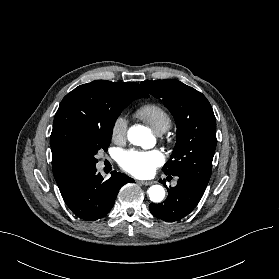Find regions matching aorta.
I'll return each mask as SVG.
<instances>
[{
    "mask_svg": "<svg viewBox=\"0 0 279 279\" xmlns=\"http://www.w3.org/2000/svg\"><path fill=\"white\" fill-rule=\"evenodd\" d=\"M151 137L149 130L143 126H133L128 130L129 141L137 146L149 147ZM148 195L151 201L159 203L165 197V190L160 185H153L148 189Z\"/></svg>",
    "mask_w": 279,
    "mask_h": 279,
    "instance_id": "762f6f07",
    "label": "aorta"
}]
</instances>
